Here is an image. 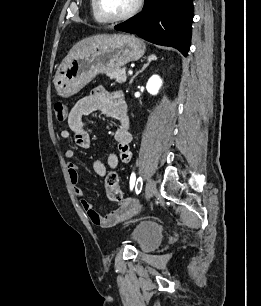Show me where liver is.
Instances as JSON below:
<instances>
[{"label":"liver","mask_w":261,"mask_h":306,"mask_svg":"<svg viewBox=\"0 0 261 306\" xmlns=\"http://www.w3.org/2000/svg\"><path fill=\"white\" fill-rule=\"evenodd\" d=\"M107 35L101 34V35H94L91 37H87L79 42H77L69 51L68 55L66 58H70L72 56L75 55V53H77L80 49H82L83 47L90 45L96 41H99L103 38H105Z\"/></svg>","instance_id":"liver-1"}]
</instances>
